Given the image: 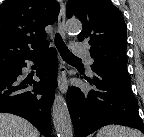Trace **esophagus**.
<instances>
[{"instance_id": "34e87169", "label": "esophagus", "mask_w": 144, "mask_h": 137, "mask_svg": "<svg viewBox=\"0 0 144 137\" xmlns=\"http://www.w3.org/2000/svg\"><path fill=\"white\" fill-rule=\"evenodd\" d=\"M65 5L61 3L60 12L58 16V31L63 38H65ZM58 88L62 93H66L68 88V81H67V68L61 62L58 70L57 76Z\"/></svg>"}]
</instances>
